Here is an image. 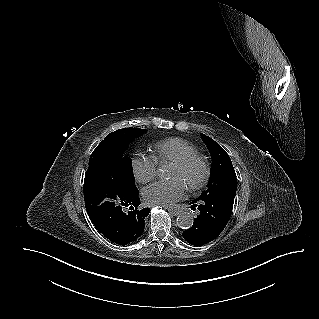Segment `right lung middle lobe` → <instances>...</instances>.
<instances>
[{
  "instance_id": "dd1d6c3e",
  "label": "right lung middle lobe",
  "mask_w": 319,
  "mask_h": 319,
  "mask_svg": "<svg viewBox=\"0 0 319 319\" xmlns=\"http://www.w3.org/2000/svg\"><path fill=\"white\" fill-rule=\"evenodd\" d=\"M140 128H124L108 134L105 139L96 147L90 157V166L103 163H120L125 182L129 186H135L132 172L131 159L128 156L122 157L128 145L144 133Z\"/></svg>"
}]
</instances>
